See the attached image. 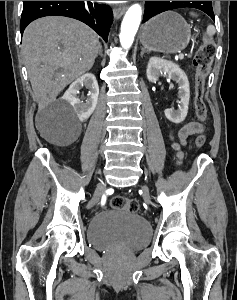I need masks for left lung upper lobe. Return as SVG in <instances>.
I'll use <instances>...</instances> for the list:
<instances>
[{
	"mask_svg": "<svg viewBox=\"0 0 237 300\" xmlns=\"http://www.w3.org/2000/svg\"><path fill=\"white\" fill-rule=\"evenodd\" d=\"M206 4L207 1H146L143 22L161 12L176 8H196L204 12Z\"/></svg>",
	"mask_w": 237,
	"mask_h": 300,
	"instance_id": "5c2ea615",
	"label": "left lung upper lobe"
}]
</instances>
